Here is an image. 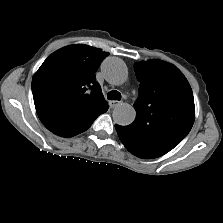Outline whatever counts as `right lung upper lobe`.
I'll return each mask as SVG.
<instances>
[{
    "instance_id": "cb5924a9",
    "label": "right lung upper lobe",
    "mask_w": 223,
    "mask_h": 223,
    "mask_svg": "<svg viewBox=\"0 0 223 223\" xmlns=\"http://www.w3.org/2000/svg\"><path fill=\"white\" fill-rule=\"evenodd\" d=\"M108 55L84 44L52 53L32 80L37 114L56 135L72 137L87 130L108 110L95 72Z\"/></svg>"
}]
</instances>
